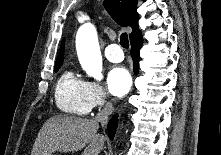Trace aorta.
<instances>
[{"mask_svg": "<svg viewBox=\"0 0 221 155\" xmlns=\"http://www.w3.org/2000/svg\"><path fill=\"white\" fill-rule=\"evenodd\" d=\"M76 50L86 74L98 81L102 80V56L97 31L92 24L86 23L79 28L76 35Z\"/></svg>", "mask_w": 221, "mask_h": 155, "instance_id": "762f6f07", "label": "aorta"}]
</instances>
